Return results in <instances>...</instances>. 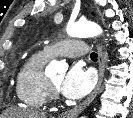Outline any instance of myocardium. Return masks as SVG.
<instances>
[{"label":"myocardium","instance_id":"myocardium-1","mask_svg":"<svg viewBox=\"0 0 133 118\" xmlns=\"http://www.w3.org/2000/svg\"><path fill=\"white\" fill-rule=\"evenodd\" d=\"M48 85H49V97H51L53 100L58 99V93H57V86L48 79Z\"/></svg>","mask_w":133,"mask_h":118}]
</instances>
